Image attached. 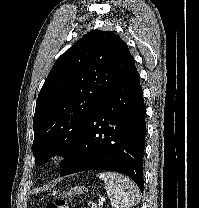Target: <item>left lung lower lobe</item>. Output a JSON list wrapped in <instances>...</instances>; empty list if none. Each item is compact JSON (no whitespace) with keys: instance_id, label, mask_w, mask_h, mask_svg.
<instances>
[{"instance_id":"0a47b994","label":"left lung lower lobe","mask_w":199,"mask_h":208,"mask_svg":"<svg viewBox=\"0 0 199 208\" xmlns=\"http://www.w3.org/2000/svg\"><path fill=\"white\" fill-rule=\"evenodd\" d=\"M145 114L134 63L87 120L77 145L61 166L60 176L83 170H112L131 177L143 192Z\"/></svg>"}]
</instances>
